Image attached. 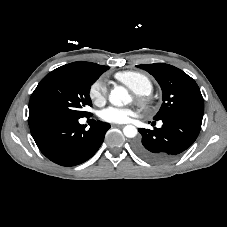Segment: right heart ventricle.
Returning <instances> with one entry per match:
<instances>
[{"instance_id": "obj_1", "label": "right heart ventricle", "mask_w": 227, "mask_h": 227, "mask_svg": "<svg viewBox=\"0 0 227 227\" xmlns=\"http://www.w3.org/2000/svg\"><path fill=\"white\" fill-rule=\"evenodd\" d=\"M115 77L138 95H148L153 90V83L148 76L137 71H123Z\"/></svg>"}]
</instances>
